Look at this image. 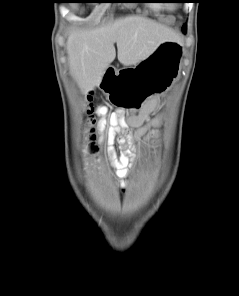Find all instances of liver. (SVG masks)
<instances>
[{
  "label": "liver",
  "mask_w": 239,
  "mask_h": 296,
  "mask_svg": "<svg viewBox=\"0 0 239 296\" xmlns=\"http://www.w3.org/2000/svg\"><path fill=\"white\" fill-rule=\"evenodd\" d=\"M179 39L174 30L138 15L120 17L92 30H72L66 40L69 70L86 94L100 85L114 61V43L119 62L130 66L147 58L160 43Z\"/></svg>",
  "instance_id": "1"
}]
</instances>
